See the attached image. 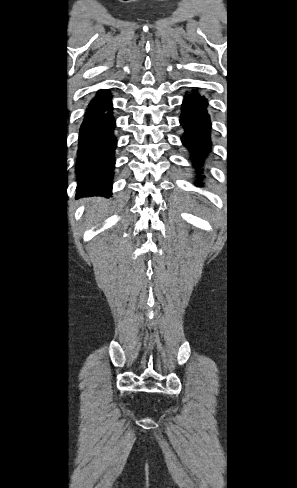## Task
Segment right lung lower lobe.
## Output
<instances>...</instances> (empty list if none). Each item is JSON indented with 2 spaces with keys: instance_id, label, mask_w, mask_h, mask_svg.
Here are the masks:
<instances>
[{
  "instance_id": "98d812e1",
  "label": "right lung lower lobe",
  "mask_w": 297,
  "mask_h": 488,
  "mask_svg": "<svg viewBox=\"0 0 297 488\" xmlns=\"http://www.w3.org/2000/svg\"><path fill=\"white\" fill-rule=\"evenodd\" d=\"M109 91L100 90L89 104L81 125L76 173V197L109 196L112 188L115 120Z\"/></svg>"
}]
</instances>
